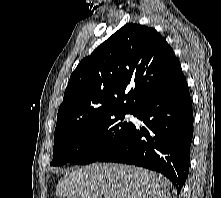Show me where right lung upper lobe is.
Segmentation results:
<instances>
[{
  "label": "right lung upper lobe",
  "mask_w": 221,
  "mask_h": 198,
  "mask_svg": "<svg viewBox=\"0 0 221 198\" xmlns=\"http://www.w3.org/2000/svg\"><path fill=\"white\" fill-rule=\"evenodd\" d=\"M180 74L172 48L154 28L126 24L72 73L58 110L55 137L119 112H137Z\"/></svg>",
  "instance_id": "1"
}]
</instances>
